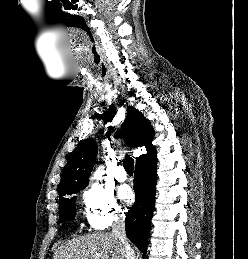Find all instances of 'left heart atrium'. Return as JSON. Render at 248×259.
<instances>
[{
	"mask_svg": "<svg viewBox=\"0 0 248 259\" xmlns=\"http://www.w3.org/2000/svg\"><path fill=\"white\" fill-rule=\"evenodd\" d=\"M119 196L126 204H132L134 202V193L128 186L120 188Z\"/></svg>",
	"mask_w": 248,
	"mask_h": 259,
	"instance_id": "obj_1",
	"label": "left heart atrium"
}]
</instances>
